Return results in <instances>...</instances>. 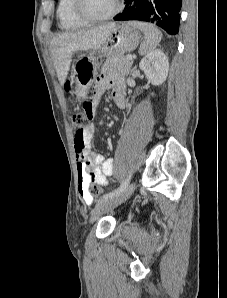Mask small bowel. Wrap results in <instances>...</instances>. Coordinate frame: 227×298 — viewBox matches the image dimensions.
Wrapping results in <instances>:
<instances>
[{
    "label": "small bowel",
    "mask_w": 227,
    "mask_h": 298,
    "mask_svg": "<svg viewBox=\"0 0 227 298\" xmlns=\"http://www.w3.org/2000/svg\"><path fill=\"white\" fill-rule=\"evenodd\" d=\"M112 89V98L119 108L126 106V98L124 93V85L122 81L114 76L104 74L96 81L93 87V97L85 98V103L82 104L85 115H97L98 111L96 105L107 90ZM96 117H89V127L84 132L85 150L83 157L76 151L77 158V172L79 193L83 201L91 204L93 201L92 195L89 193L90 183L98 186H106L108 184V177L113 174L114 160L105 158L102 154L92 151V139L95 132ZM76 150V149H75Z\"/></svg>",
    "instance_id": "1"
}]
</instances>
